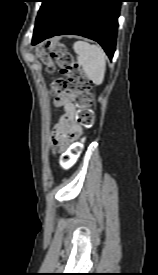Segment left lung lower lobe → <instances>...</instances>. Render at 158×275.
I'll list each match as a JSON object with an SVG mask.
<instances>
[{"label": "left lung lower lobe", "instance_id": "left-lung-lower-lobe-1", "mask_svg": "<svg viewBox=\"0 0 158 275\" xmlns=\"http://www.w3.org/2000/svg\"><path fill=\"white\" fill-rule=\"evenodd\" d=\"M122 0H51L32 45L55 35L74 34L97 41L112 59Z\"/></svg>", "mask_w": 158, "mask_h": 275}]
</instances>
